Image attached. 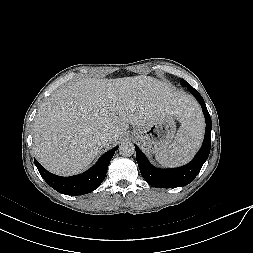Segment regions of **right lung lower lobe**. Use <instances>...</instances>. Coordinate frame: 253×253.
I'll return each mask as SVG.
<instances>
[{
    "instance_id": "obj_1",
    "label": "right lung lower lobe",
    "mask_w": 253,
    "mask_h": 253,
    "mask_svg": "<svg viewBox=\"0 0 253 253\" xmlns=\"http://www.w3.org/2000/svg\"><path fill=\"white\" fill-rule=\"evenodd\" d=\"M118 147L105 153L99 161L87 172L61 177L45 170L36 160L35 165L46 183L59 193L66 195H83L97 189L106 176L109 163Z\"/></svg>"
}]
</instances>
